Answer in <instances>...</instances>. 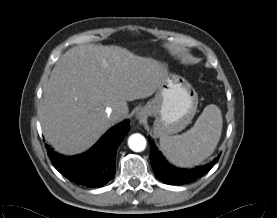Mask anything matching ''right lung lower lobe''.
<instances>
[{"mask_svg":"<svg viewBox=\"0 0 277 218\" xmlns=\"http://www.w3.org/2000/svg\"><path fill=\"white\" fill-rule=\"evenodd\" d=\"M126 120L113 128L86 153L77 156H64L46 145L54 167L70 181L95 188L108 183L115 175L116 152L130 130Z\"/></svg>","mask_w":277,"mask_h":218,"instance_id":"98d812e1","label":"right lung lower lobe"}]
</instances>
